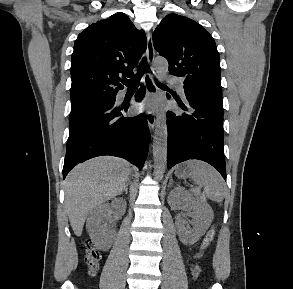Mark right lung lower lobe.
Returning a JSON list of instances; mask_svg holds the SVG:
<instances>
[{
	"label": "right lung lower lobe",
	"instance_id": "1",
	"mask_svg": "<svg viewBox=\"0 0 293 289\" xmlns=\"http://www.w3.org/2000/svg\"><path fill=\"white\" fill-rule=\"evenodd\" d=\"M144 94L142 86L135 100L141 101ZM115 99L69 119L63 178L78 163L101 155L122 157L143 168L150 141L147 120L143 114L126 117L129 105L118 108Z\"/></svg>",
	"mask_w": 293,
	"mask_h": 289
}]
</instances>
